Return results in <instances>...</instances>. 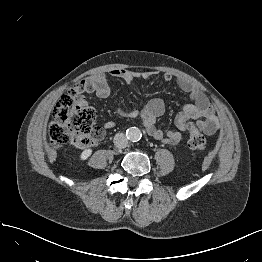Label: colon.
I'll return each instance as SVG.
<instances>
[{
  "label": "colon",
  "instance_id": "5ec220e1",
  "mask_svg": "<svg viewBox=\"0 0 262 262\" xmlns=\"http://www.w3.org/2000/svg\"><path fill=\"white\" fill-rule=\"evenodd\" d=\"M96 120L95 109L86 104L78 93L70 90L57 102L47 126L48 142L54 149H59L69 142L76 148H85L92 144L99 131L93 130ZM188 146L196 151H205V136L193 123L187 125Z\"/></svg>",
  "mask_w": 262,
  "mask_h": 262
}]
</instances>
